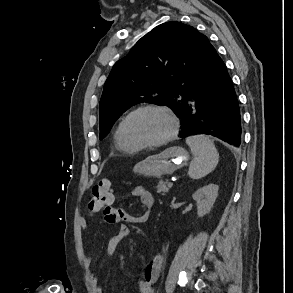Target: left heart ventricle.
Returning a JSON list of instances; mask_svg holds the SVG:
<instances>
[{
	"label": "left heart ventricle",
	"instance_id": "obj_1",
	"mask_svg": "<svg viewBox=\"0 0 293 293\" xmlns=\"http://www.w3.org/2000/svg\"><path fill=\"white\" fill-rule=\"evenodd\" d=\"M170 130V122L162 113L143 111L135 115L129 126L132 140L154 142L163 138Z\"/></svg>",
	"mask_w": 293,
	"mask_h": 293
}]
</instances>
